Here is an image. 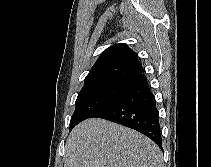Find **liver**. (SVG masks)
I'll use <instances>...</instances> for the list:
<instances>
[{
  "instance_id": "liver-1",
  "label": "liver",
  "mask_w": 211,
  "mask_h": 167,
  "mask_svg": "<svg viewBox=\"0 0 211 167\" xmlns=\"http://www.w3.org/2000/svg\"><path fill=\"white\" fill-rule=\"evenodd\" d=\"M162 158L159 147L143 134L92 118L70 133L64 167H164Z\"/></svg>"
}]
</instances>
